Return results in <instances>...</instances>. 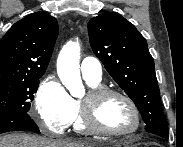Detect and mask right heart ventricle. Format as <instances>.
<instances>
[{
    "label": "right heart ventricle",
    "mask_w": 183,
    "mask_h": 147,
    "mask_svg": "<svg viewBox=\"0 0 183 147\" xmlns=\"http://www.w3.org/2000/svg\"><path fill=\"white\" fill-rule=\"evenodd\" d=\"M88 84L93 89L100 87L99 84L90 83V82H88ZM73 107H74V118H73L71 125L73 126L74 130L79 134L89 133V130L86 127L84 120H83L81 101L77 100V99H73Z\"/></svg>",
    "instance_id": "1"
}]
</instances>
